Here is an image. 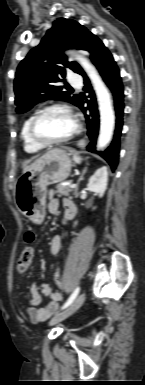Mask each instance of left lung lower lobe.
<instances>
[{"mask_svg":"<svg viewBox=\"0 0 145 385\" xmlns=\"http://www.w3.org/2000/svg\"><path fill=\"white\" fill-rule=\"evenodd\" d=\"M88 52L90 53L91 60L99 70L103 80L111 89L114 96V105L116 111V129L113 141L110 146L104 151L99 153L114 170L118 164L119 159V145L120 135L122 130V116H123V86L119 75L118 67L108 49L104 44L94 35L91 39ZM85 79V91L89 93L90 100L87 102L88 107L83 106L84 101L81 99L79 108L83 111L86 118L88 136L91 140L87 146V150L90 152L95 151V144L99 130V113L97 110L96 98L92 86L89 83V79L85 72L81 69L79 72Z\"/></svg>","mask_w":145,"mask_h":385,"instance_id":"0a47b994","label":"left lung lower lobe"}]
</instances>
